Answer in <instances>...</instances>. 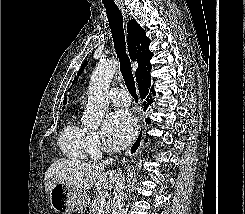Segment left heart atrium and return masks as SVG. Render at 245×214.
<instances>
[{
  "mask_svg": "<svg viewBox=\"0 0 245 214\" xmlns=\"http://www.w3.org/2000/svg\"><path fill=\"white\" fill-rule=\"evenodd\" d=\"M136 122L130 112L122 109L107 115L102 128L106 147L110 151H118L127 146L133 139Z\"/></svg>",
  "mask_w": 245,
  "mask_h": 214,
  "instance_id": "obj_1",
  "label": "left heart atrium"
}]
</instances>
